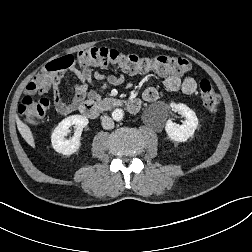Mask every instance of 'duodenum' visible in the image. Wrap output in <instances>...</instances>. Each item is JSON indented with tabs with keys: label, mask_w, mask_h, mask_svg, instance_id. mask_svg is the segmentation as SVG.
Instances as JSON below:
<instances>
[{
	"label": "duodenum",
	"mask_w": 252,
	"mask_h": 252,
	"mask_svg": "<svg viewBox=\"0 0 252 252\" xmlns=\"http://www.w3.org/2000/svg\"><path fill=\"white\" fill-rule=\"evenodd\" d=\"M113 102L107 101L104 103H99L93 100L83 101L78 109L80 113L87 118H96L100 112L110 106ZM130 113H136L141 107V101L139 99H128L120 102Z\"/></svg>",
	"instance_id": "410a0bca"
}]
</instances>
